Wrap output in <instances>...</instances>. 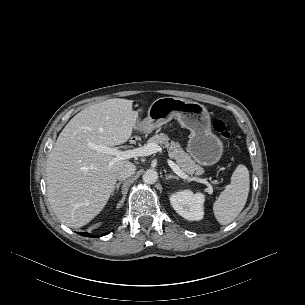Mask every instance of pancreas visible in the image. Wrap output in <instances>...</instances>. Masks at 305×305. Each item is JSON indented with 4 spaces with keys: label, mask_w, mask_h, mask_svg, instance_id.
I'll list each match as a JSON object with an SVG mask.
<instances>
[{
    "label": "pancreas",
    "mask_w": 305,
    "mask_h": 305,
    "mask_svg": "<svg viewBox=\"0 0 305 305\" xmlns=\"http://www.w3.org/2000/svg\"><path fill=\"white\" fill-rule=\"evenodd\" d=\"M170 141V138L165 133L155 134L148 140L149 143L161 145L163 148H167L169 156L175 159L177 165L181 170L188 175H201L204 170L200 167L191 156L186 153L179 142Z\"/></svg>",
    "instance_id": "1"
}]
</instances>
